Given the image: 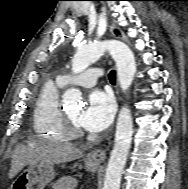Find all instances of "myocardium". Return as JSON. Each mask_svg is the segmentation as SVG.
<instances>
[{
  "mask_svg": "<svg viewBox=\"0 0 188 189\" xmlns=\"http://www.w3.org/2000/svg\"><path fill=\"white\" fill-rule=\"evenodd\" d=\"M64 131L69 138H79L83 136V131L80 127L69 117L66 112L62 116Z\"/></svg>",
  "mask_w": 188,
  "mask_h": 189,
  "instance_id": "myocardium-1",
  "label": "myocardium"
}]
</instances>
